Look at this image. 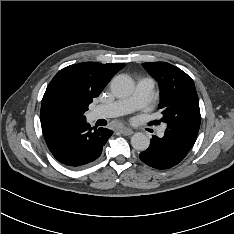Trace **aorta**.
<instances>
[{"label":"aorta","mask_w":234,"mask_h":234,"mask_svg":"<svg viewBox=\"0 0 234 234\" xmlns=\"http://www.w3.org/2000/svg\"><path fill=\"white\" fill-rule=\"evenodd\" d=\"M134 90V82L127 75H118L111 81V91L117 98L129 97ZM150 140L144 133L138 132L131 137V145L138 151H144L149 147Z\"/></svg>","instance_id":"obj_1"}]
</instances>
